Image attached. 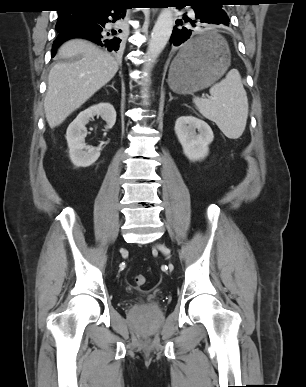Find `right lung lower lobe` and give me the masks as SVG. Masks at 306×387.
Listing matches in <instances>:
<instances>
[{"label": "right lung lower lobe", "instance_id": "right-lung-lower-lobe-1", "mask_svg": "<svg viewBox=\"0 0 306 387\" xmlns=\"http://www.w3.org/2000/svg\"><path fill=\"white\" fill-rule=\"evenodd\" d=\"M126 9L127 7L121 2L85 8V16L80 23L58 31V36L52 45V57L64 41L75 37L93 41L100 46H105L109 51H118L122 41L119 38L122 31L118 28V22L124 18ZM115 22V26L111 29V23Z\"/></svg>", "mask_w": 306, "mask_h": 387}]
</instances>
